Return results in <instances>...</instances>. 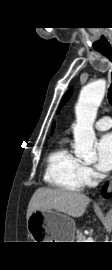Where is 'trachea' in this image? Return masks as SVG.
<instances>
[{"mask_svg":"<svg viewBox=\"0 0 112 270\" xmlns=\"http://www.w3.org/2000/svg\"><path fill=\"white\" fill-rule=\"evenodd\" d=\"M98 52L102 53L106 58H108L112 62V48H103V49H97ZM112 76V73H111ZM108 101L110 105L112 106V82L108 89V95H107Z\"/></svg>","mask_w":112,"mask_h":270,"instance_id":"obj_1","label":"trachea"}]
</instances>
